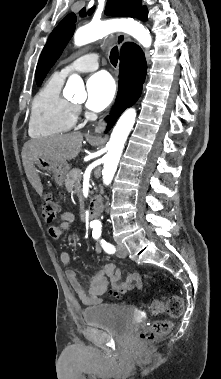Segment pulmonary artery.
Returning <instances> with one entry per match:
<instances>
[{
    "label": "pulmonary artery",
    "mask_w": 221,
    "mask_h": 379,
    "mask_svg": "<svg viewBox=\"0 0 221 379\" xmlns=\"http://www.w3.org/2000/svg\"><path fill=\"white\" fill-rule=\"evenodd\" d=\"M99 67V57L95 53H88L85 54L76 60H74L72 63L68 64L64 68H62L60 71L56 72V74L60 75L61 77L65 78L71 73L74 72H91Z\"/></svg>",
    "instance_id": "obj_1"
}]
</instances>
